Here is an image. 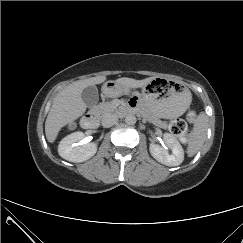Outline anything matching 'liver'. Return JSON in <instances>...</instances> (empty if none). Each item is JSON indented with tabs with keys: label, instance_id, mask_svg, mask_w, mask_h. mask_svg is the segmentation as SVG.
I'll list each match as a JSON object with an SVG mask.
<instances>
[{
	"label": "liver",
	"instance_id": "liver-1",
	"mask_svg": "<svg viewBox=\"0 0 243 243\" xmlns=\"http://www.w3.org/2000/svg\"><path fill=\"white\" fill-rule=\"evenodd\" d=\"M153 79L154 77L143 80L123 77L117 79L116 82L128 88H140L149 84ZM105 80V76H97L76 81L57 94L45 121V134L48 142L53 143L62 127L85 113L86 104L81 97L82 91L88 86L101 84Z\"/></svg>",
	"mask_w": 243,
	"mask_h": 243
}]
</instances>
